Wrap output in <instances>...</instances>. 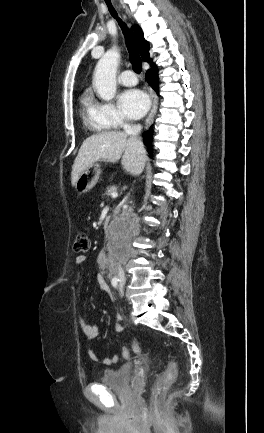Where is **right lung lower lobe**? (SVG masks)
Returning a JSON list of instances; mask_svg holds the SVG:
<instances>
[{"label": "right lung lower lobe", "mask_w": 264, "mask_h": 433, "mask_svg": "<svg viewBox=\"0 0 264 433\" xmlns=\"http://www.w3.org/2000/svg\"><path fill=\"white\" fill-rule=\"evenodd\" d=\"M149 83L151 87L158 92L159 91V85H158V71L154 64H152V68L147 73ZM152 137H153V128L149 129L148 132L144 134V142L148 145V150L151 151V143H152Z\"/></svg>", "instance_id": "right-lung-lower-lobe-1"}]
</instances>
